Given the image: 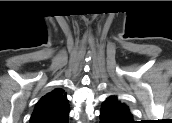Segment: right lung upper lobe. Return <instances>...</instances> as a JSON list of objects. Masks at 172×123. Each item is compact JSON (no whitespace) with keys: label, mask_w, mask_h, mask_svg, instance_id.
Listing matches in <instances>:
<instances>
[{"label":"right lung upper lobe","mask_w":172,"mask_h":123,"mask_svg":"<svg viewBox=\"0 0 172 123\" xmlns=\"http://www.w3.org/2000/svg\"><path fill=\"white\" fill-rule=\"evenodd\" d=\"M69 105L66 93L55 89L36 104L30 123H68Z\"/></svg>","instance_id":"right-lung-upper-lobe-1"}]
</instances>
